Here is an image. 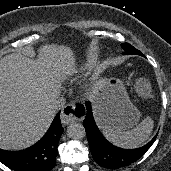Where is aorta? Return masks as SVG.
I'll list each match as a JSON object with an SVG mask.
<instances>
[{
    "instance_id": "aorta-1",
    "label": "aorta",
    "mask_w": 171,
    "mask_h": 171,
    "mask_svg": "<svg viewBox=\"0 0 171 171\" xmlns=\"http://www.w3.org/2000/svg\"><path fill=\"white\" fill-rule=\"evenodd\" d=\"M86 131L81 123H71L67 127V136L73 140H80L84 138Z\"/></svg>"
}]
</instances>
